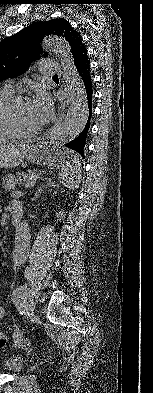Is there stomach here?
Returning <instances> with one entry per match:
<instances>
[{
	"label": "stomach",
	"instance_id": "obj_1",
	"mask_svg": "<svg viewBox=\"0 0 153 393\" xmlns=\"http://www.w3.org/2000/svg\"><path fill=\"white\" fill-rule=\"evenodd\" d=\"M23 159L31 165L41 166L52 160L53 156L44 145L39 143L25 147Z\"/></svg>",
	"mask_w": 153,
	"mask_h": 393
}]
</instances>
